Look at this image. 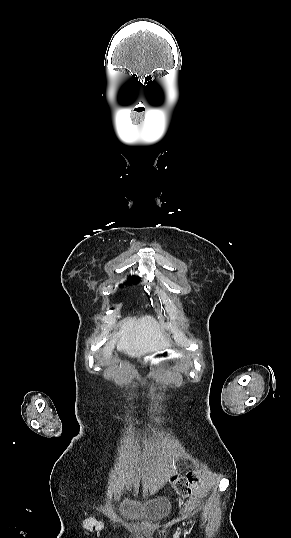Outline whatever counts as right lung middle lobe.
<instances>
[{
	"label": "right lung middle lobe",
	"instance_id": "right-lung-middle-lobe-1",
	"mask_svg": "<svg viewBox=\"0 0 291 538\" xmlns=\"http://www.w3.org/2000/svg\"><path fill=\"white\" fill-rule=\"evenodd\" d=\"M139 280H140L139 277L132 276V277H130V279H129V283H136V282H138Z\"/></svg>",
	"mask_w": 291,
	"mask_h": 538
}]
</instances>
